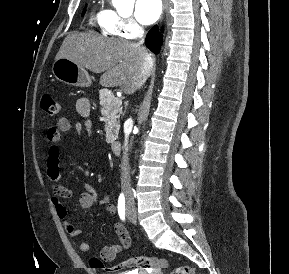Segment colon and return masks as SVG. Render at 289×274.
I'll list each match as a JSON object with an SVG mask.
<instances>
[{
    "instance_id": "obj_1",
    "label": "colon",
    "mask_w": 289,
    "mask_h": 274,
    "mask_svg": "<svg viewBox=\"0 0 289 274\" xmlns=\"http://www.w3.org/2000/svg\"><path fill=\"white\" fill-rule=\"evenodd\" d=\"M40 107L47 115L54 117L59 114L61 103L51 95L44 94L40 99ZM89 264L91 268L104 270L105 272H118L121 270L151 272L164 270L169 266L166 259L150 258L146 256L129 258L113 266H106L101 259L91 257ZM171 274H195V270L190 266L180 265L175 267Z\"/></svg>"
}]
</instances>
